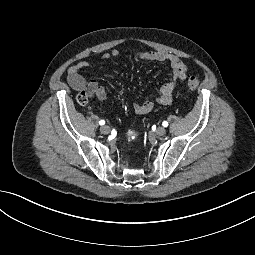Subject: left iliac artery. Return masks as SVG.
Returning <instances> with one entry per match:
<instances>
[{
  "instance_id": "1",
  "label": "left iliac artery",
  "mask_w": 255,
  "mask_h": 255,
  "mask_svg": "<svg viewBox=\"0 0 255 255\" xmlns=\"http://www.w3.org/2000/svg\"><path fill=\"white\" fill-rule=\"evenodd\" d=\"M162 125H163L164 127H167V126H168V122H167V121H164V122L162 123Z\"/></svg>"
}]
</instances>
